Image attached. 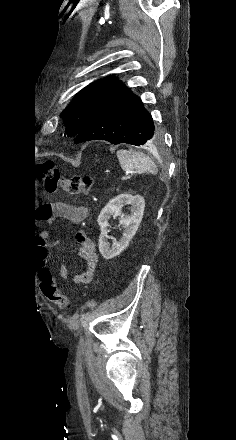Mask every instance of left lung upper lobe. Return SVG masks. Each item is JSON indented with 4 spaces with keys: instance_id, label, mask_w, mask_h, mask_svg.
Wrapping results in <instances>:
<instances>
[{
    "instance_id": "left-lung-upper-lobe-1",
    "label": "left lung upper lobe",
    "mask_w": 236,
    "mask_h": 440,
    "mask_svg": "<svg viewBox=\"0 0 236 440\" xmlns=\"http://www.w3.org/2000/svg\"><path fill=\"white\" fill-rule=\"evenodd\" d=\"M127 87L113 75L90 83L61 113L68 136L77 135L83 127L109 102Z\"/></svg>"
}]
</instances>
